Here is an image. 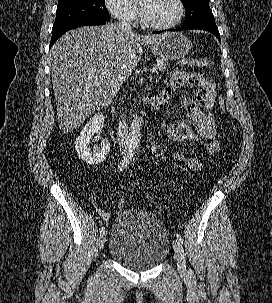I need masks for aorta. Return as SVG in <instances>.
<instances>
[{
	"label": "aorta",
	"instance_id": "obj_1",
	"mask_svg": "<svg viewBox=\"0 0 272 303\" xmlns=\"http://www.w3.org/2000/svg\"><path fill=\"white\" fill-rule=\"evenodd\" d=\"M140 140H141L140 117L138 116V114H134L130 126V143L132 145L137 146L140 144Z\"/></svg>",
	"mask_w": 272,
	"mask_h": 303
}]
</instances>
